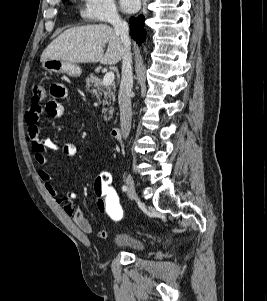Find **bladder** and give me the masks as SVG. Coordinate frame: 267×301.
Wrapping results in <instances>:
<instances>
[{
    "mask_svg": "<svg viewBox=\"0 0 267 301\" xmlns=\"http://www.w3.org/2000/svg\"><path fill=\"white\" fill-rule=\"evenodd\" d=\"M113 246L117 249H128L135 252H142L146 249V243L138 236L120 233L113 238Z\"/></svg>",
    "mask_w": 267,
    "mask_h": 301,
    "instance_id": "obj_1",
    "label": "bladder"
}]
</instances>
